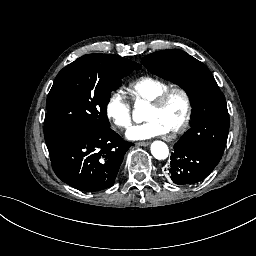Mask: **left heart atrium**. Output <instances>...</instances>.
Segmentation results:
<instances>
[{
	"instance_id": "1",
	"label": "left heart atrium",
	"mask_w": 256,
	"mask_h": 256,
	"mask_svg": "<svg viewBox=\"0 0 256 256\" xmlns=\"http://www.w3.org/2000/svg\"><path fill=\"white\" fill-rule=\"evenodd\" d=\"M143 130L150 136H162L169 133L170 124L163 115L154 114L143 123Z\"/></svg>"
}]
</instances>
